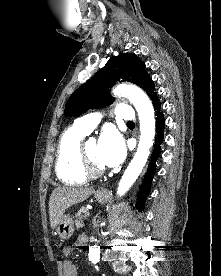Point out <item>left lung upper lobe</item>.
<instances>
[{
	"label": "left lung upper lobe",
	"instance_id": "5c2ea615",
	"mask_svg": "<svg viewBox=\"0 0 221 276\" xmlns=\"http://www.w3.org/2000/svg\"><path fill=\"white\" fill-rule=\"evenodd\" d=\"M118 81H129L141 87L150 98L157 95L145 64L136 55L122 53L111 57L106 65L89 81L80 86L65 106L66 116H77L88 109L105 107L113 102L110 88Z\"/></svg>",
	"mask_w": 221,
	"mask_h": 276
}]
</instances>
